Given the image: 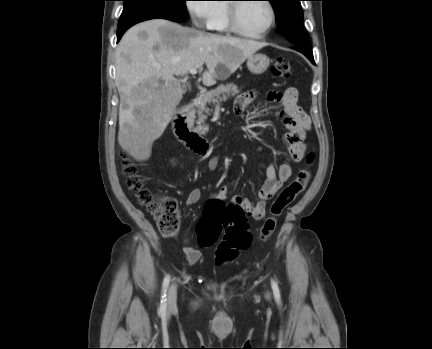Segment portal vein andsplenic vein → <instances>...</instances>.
<instances>
[{
    "instance_id": "18ae733b",
    "label": "portal vein and splenic vein",
    "mask_w": 432,
    "mask_h": 349,
    "mask_svg": "<svg viewBox=\"0 0 432 349\" xmlns=\"http://www.w3.org/2000/svg\"><path fill=\"white\" fill-rule=\"evenodd\" d=\"M190 73L193 74V75H195V74H197V70L196 69H192V70H190Z\"/></svg>"
}]
</instances>
